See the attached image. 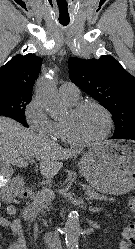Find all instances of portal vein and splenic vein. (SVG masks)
Wrapping results in <instances>:
<instances>
[{
    "instance_id": "portal-vein-and-splenic-vein-1",
    "label": "portal vein and splenic vein",
    "mask_w": 135,
    "mask_h": 249,
    "mask_svg": "<svg viewBox=\"0 0 135 249\" xmlns=\"http://www.w3.org/2000/svg\"><path fill=\"white\" fill-rule=\"evenodd\" d=\"M28 159L30 160V158H28ZM49 197H50V199H54V197H55V196H54V193H53V192H50V193H49Z\"/></svg>"
}]
</instances>
